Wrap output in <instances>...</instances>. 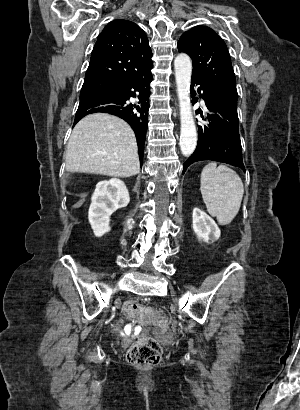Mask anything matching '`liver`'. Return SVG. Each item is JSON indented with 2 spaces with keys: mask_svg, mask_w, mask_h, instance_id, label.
Returning <instances> with one entry per match:
<instances>
[{
  "mask_svg": "<svg viewBox=\"0 0 300 410\" xmlns=\"http://www.w3.org/2000/svg\"><path fill=\"white\" fill-rule=\"evenodd\" d=\"M66 170L115 177L140 171L138 146L131 127L122 119L90 114L74 127L65 153Z\"/></svg>",
  "mask_w": 300,
  "mask_h": 410,
  "instance_id": "liver-1",
  "label": "liver"
}]
</instances>
